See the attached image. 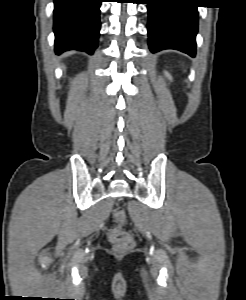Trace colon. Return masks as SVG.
Returning <instances> with one entry per match:
<instances>
[{
	"label": "colon",
	"instance_id": "colon-1",
	"mask_svg": "<svg viewBox=\"0 0 246 300\" xmlns=\"http://www.w3.org/2000/svg\"><path fill=\"white\" fill-rule=\"evenodd\" d=\"M113 218L116 226L109 232V240L114 247L119 251H124L132 247L133 238L131 234L123 229L126 222V215L124 210L117 206L113 210Z\"/></svg>",
	"mask_w": 246,
	"mask_h": 300
}]
</instances>
